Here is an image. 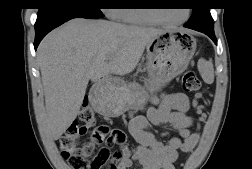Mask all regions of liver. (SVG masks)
I'll use <instances>...</instances> for the list:
<instances>
[{
  "mask_svg": "<svg viewBox=\"0 0 252 169\" xmlns=\"http://www.w3.org/2000/svg\"><path fill=\"white\" fill-rule=\"evenodd\" d=\"M162 31L75 18L50 32L37 50L49 136L59 139L76 119L89 80L131 73L147 44Z\"/></svg>",
  "mask_w": 252,
  "mask_h": 169,
  "instance_id": "liver-1",
  "label": "liver"
}]
</instances>
